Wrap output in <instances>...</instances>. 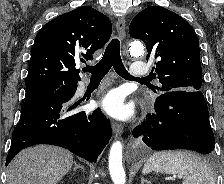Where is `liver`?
Wrapping results in <instances>:
<instances>
[{
	"mask_svg": "<svg viewBox=\"0 0 224 184\" xmlns=\"http://www.w3.org/2000/svg\"><path fill=\"white\" fill-rule=\"evenodd\" d=\"M65 149L38 145L22 150L9 164L7 184H57L72 168Z\"/></svg>",
	"mask_w": 224,
	"mask_h": 184,
	"instance_id": "1",
	"label": "liver"
}]
</instances>
